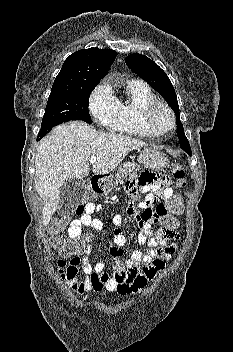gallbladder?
Returning a JSON list of instances; mask_svg holds the SVG:
<instances>
[{
	"mask_svg": "<svg viewBox=\"0 0 233 352\" xmlns=\"http://www.w3.org/2000/svg\"><path fill=\"white\" fill-rule=\"evenodd\" d=\"M87 186L88 184L84 180H66L59 191L58 213L62 216L72 213L80 204Z\"/></svg>",
	"mask_w": 233,
	"mask_h": 352,
	"instance_id": "1",
	"label": "gallbladder"
}]
</instances>
